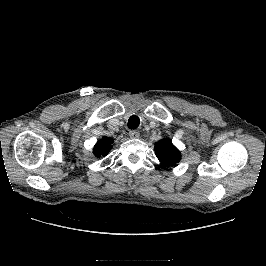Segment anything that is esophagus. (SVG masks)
Instances as JSON below:
<instances>
[{
    "instance_id": "34e87169",
    "label": "esophagus",
    "mask_w": 266,
    "mask_h": 266,
    "mask_svg": "<svg viewBox=\"0 0 266 266\" xmlns=\"http://www.w3.org/2000/svg\"><path fill=\"white\" fill-rule=\"evenodd\" d=\"M139 132L138 131H135V130H131L130 132H129V136H130V138H132V139H136V138H139Z\"/></svg>"
}]
</instances>
